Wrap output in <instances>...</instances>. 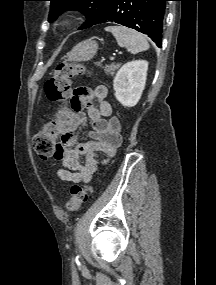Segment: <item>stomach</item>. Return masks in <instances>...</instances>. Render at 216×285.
<instances>
[{
  "label": "stomach",
  "mask_w": 216,
  "mask_h": 285,
  "mask_svg": "<svg viewBox=\"0 0 216 285\" xmlns=\"http://www.w3.org/2000/svg\"><path fill=\"white\" fill-rule=\"evenodd\" d=\"M98 44L93 39L78 43L67 54V61L85 62L91 60L97 53Z\"/></svg>",
  "instance_id": "1"
}]
</instances>
